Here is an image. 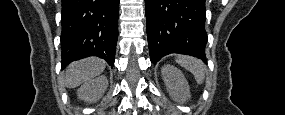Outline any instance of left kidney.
<instances>
[{
	"label": "left kidney",
	"mask_w": 285,
	"mask_h": 115,
	"mask_svg": "<svg viewBox=\"0 0 285 115\" xmlns=\"http://www.w3.org/2000/svg\"><path fill=\"white\" fill-rule=\"evenodd\" d=\"M161 73L170 96L182 102L190 98V88L181 70L167 64L162 67Z\"/></svg>",
	"instance_id": "obj_1"
}]
</instances>
